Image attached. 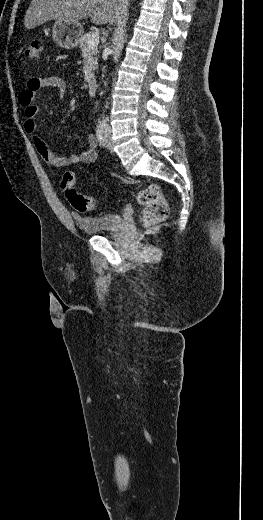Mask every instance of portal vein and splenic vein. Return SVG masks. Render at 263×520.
Instances as JSON below:
<instances>
[{
	"label": "portal vein and splenic vein",
	"mask_w": 263,
	"mask_h": 520,
	"mask_svg": "<svg viewBox=\"0 0 263 520\" xmlns=\"http://www.w3.org/2000/svg\"><path fill=\"white\" fill-rule=\"evenodd\" d=\"M99 43V33L96 31L92 34V37L88 40L89 47H95Z\"/></svg>",
	"instance_id": "portal-vein-and-splenic-vein-1"
}]
</instances>
